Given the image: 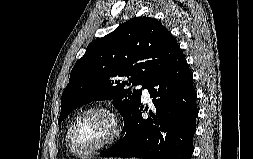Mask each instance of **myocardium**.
Masks as SVG:
<instances>
[{
    "label": "myocardium",
    "instance_id": "1",
    "mask_svg": "<svg viewBox=\"0 0 253 159\" xmlns=\"http://www.w3.org/2000/svg\"><path fill=\"white\" fill-rule=\"evenodd\" d=\"M94 111H100V112L106 113L111 118V121L113 124V133L107 140H105L101 144L89 149L88 151L79 152V151L75 150L72 145V135H73L75 125L84 115H86L87 113H90V112H94ZM123 129H124L123 122L121 120V117L119 116V114L117 113V111L115 109H113L112 107L107 106V105L91 106V107L86 108L83 111H81L71 122V124L68 128V131H67V136H66L67 148L69 149V151L72 154L79 156V157H86V156L92 155L104 148L109 147L110 145H112L116 141H118L123 133Z\"/></svg>",
    "mask_w": 253,
    "mask_h": 159
}]
</instances>
